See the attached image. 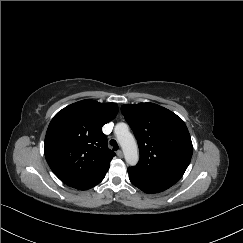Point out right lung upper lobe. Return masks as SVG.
I'll list each match as a JSON object with an SVG mask.
<instances>
[{"instance_id":"1","label":"right lung upper lobe","mask_w":243,"mask_h":243,"mask_svg":"<svg viewBox=\"0 0 243 243\" xmlns=\"http://www.w3.org/2000/svg\"><path fill=\"white\" fill-rule=\"evenodd\" d=\"M117 113L115 103L86 99L54 116L45 137V158L63 183L74 187L109 169L115 153L107 146L102 126Z\"/></svg>"}]
</instances>
